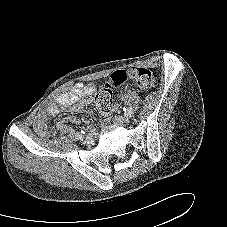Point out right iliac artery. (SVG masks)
Returning <instances> with one entry per match:
<instances>
[{
    "label": "right iliac artery",
    "instance_id": "1",
    "mask_svg": "<svg viewBox=\"0 0 227 227\" xmlns=\"http://www.w3.org/2000/svg\"><path fill=\"white\" fill-rule=\"evenodd\" d=\"M85 132L84 131H81L80 133H78L76 135L77 138L81 139L83 136H84Z\"/></svg>",
    "mask_w": 227,
    "mask_h": 227
}]
</instances>
